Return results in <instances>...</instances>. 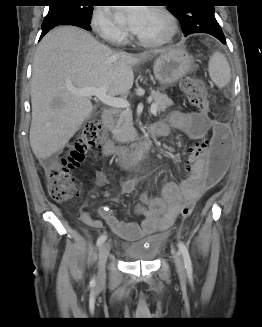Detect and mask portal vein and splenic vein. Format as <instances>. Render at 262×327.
<instances>
[{"label":"portal vein and splenic vein","instance_id":"portal-vein-and-splenic-vein-1","mask_svg":"<svg viewBox=\"0 0 262 327\" xmlns=\"http://www.w3.org/2000/svg\"><path fill=\"white\" fill-rule=\"evenodd\" d=\"M72 93H74L76 95H80V96H85V97L95 96L102 103H104L105 105H108L110 107L122 108V109H127V110L130 108V104L127 100L108 95L105 87H88V88H84V89H80V90L73 89ZM150 112L152 114L157 113V105L155 103H153L151 105Z\"/></svg>","mask_w":262,"mask_h":327}]
</instances>
